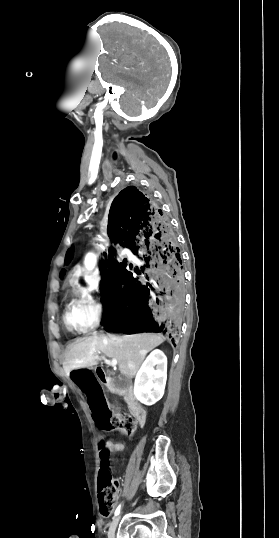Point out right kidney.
I'll return each mask as SVG.
<instances>
[{
    "label": "right kidney",
    "mask_w": 279,
    "mask_h": 538,
    "mask_svg": "<svg viewBox=\"0 0 279 538\" xmlns=\"http://www.w3.org/2000/svg\"><path fill=\"white\" fill-rule=\"evenodd\" d=\"M167 380V358L161 350L147 356L137 372L134 396L145 406H153L161 400Z\"/></svg>",
    "instance_id": "1"
}]
</instances>
